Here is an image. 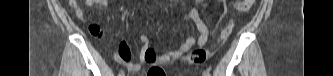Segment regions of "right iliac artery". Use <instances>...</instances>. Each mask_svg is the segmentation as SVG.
<instances>
[{
	"mask_svg": "<svg viewBox=\"0 0 333 76\" xmlns=\"http://www.w3.org/2000/svg\"><path fill=\"white\" fill-rule=\"evenodd\" d=\"M119 76H124V72L123 71L119 72Z\"/></svg>",
	"mask_w": 333,
	"mask_h": 76,
	"instance_id": "82829eb1",
	"label": "right iliac artery"
}]
</instances>
